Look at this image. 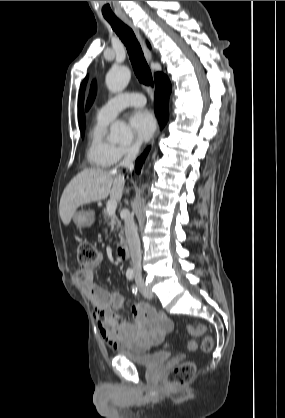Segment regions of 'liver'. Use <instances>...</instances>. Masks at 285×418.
Wrapping results in <instances>:
<instances>
[{"label": "liver", "instance_id": "6515ba94", "mask_svg": "<svg viewBox=\"0 0 285 418\" xmlns=\"http://www.w3.org/2000/svg\"><path fill=\"white\" fill-rule=\"evenodd\" d=\"M125 180L113 171L98 168L84 169L64 189L59 205V214L64 225H69L77 208L83 204L106 199L120 200Z\"/></svg>", "mask_w": 285, "mask_h": 418}]
</instances>
